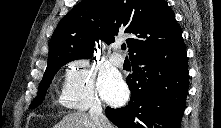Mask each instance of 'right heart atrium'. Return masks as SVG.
Masks as SVG:
<instances>
[{
  "label": "right heart atrium",
  "mask_w": 221,
  "mask_h": 128,
  "mask_svg": "<svg viewBox=\"0 0 221 128\" xmlns=\"http://www.w3.org/2000/svg\"><path fill=\"white\" fill-rule=\"evenodd\" d=\"M96 73L88 59L74 58L65 67L61 99L72 110L82 111L100 104L96 89Z\"/></svg>",
  "instance_id": "obj_1"
}]
</instances>
